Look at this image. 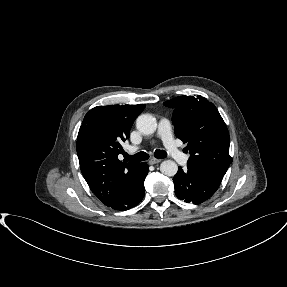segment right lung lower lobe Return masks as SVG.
<instances>
[{
  "label": "right lung lower lobe",
  "mask_w": 287,
  "mask_h": 287,
  "mask_svg": "<svg viewBox=\"0 0 287 287\" xmlns=\"http://www.w3.org/2000/svg\"><path fill=\"white\" fill-rule=\"evenodd\" d=\"M147 173L148 165L146 163H140L135 173L127 179L118 193L105 205L119 211L135 207L144 197V180Z\"/></svg>",
  "instance_id": "right-lung-lower-lobe-1"
}]
</instances>
